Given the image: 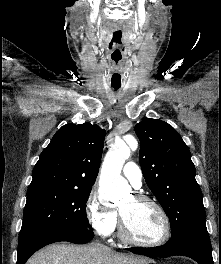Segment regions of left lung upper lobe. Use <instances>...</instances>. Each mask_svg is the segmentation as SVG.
<instances>
[{
    "label": "left lung upper lobe",
    "mask_w": 221,
    "mask_h": 264,
    "mask_svg": "<svg viewBox=\"0 0 221 264\" xmlns=\"http://www.w3.org/2000/svg\"><path fill=\"white\" fill-rule=\"evenodd\" d=\"M140 165L148 187L171 225V235L205 230V208L189 148L168 123L146 119L136 124Z\"/></svg>",
    "instance_id": "obj_1"
}]
</instances>
